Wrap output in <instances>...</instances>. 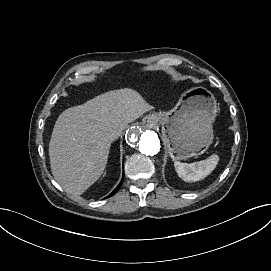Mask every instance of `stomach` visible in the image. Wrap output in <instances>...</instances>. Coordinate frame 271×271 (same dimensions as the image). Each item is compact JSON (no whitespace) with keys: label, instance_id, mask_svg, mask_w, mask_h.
Returning a JSON list of instances; mask_svg holds the SVG:
<instances>
[{"label":"stomach","instance_id":"1","mask_svg":"<svg viewBox=\"0 0 271 271\" xmlns=\"http://www.w3.org/2000/svg\"><path fill=\"white\" fill-rule=\"evenodd\" d=\"M217 105L214 95L203 87L183 93L169 111L145 117L150 126H162L166 153L174 160H183L204 153L213 140L212 123Z\"/></svg>","mask_w":271,"mask_h":271}]
</instances>
